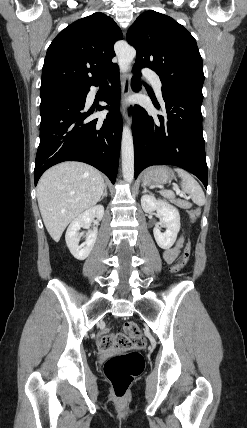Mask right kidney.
Wrapping results in <instances>:
<instances>
[{
	"label": "right kidney",
	"instance_id": "ca27d5eb",
	"mask_svg": "<svg viewBox=\"0 0 247 428\" xmlns=\"http://www.w3.org/2000/svg\"><path fill=\"white\" fill-rule=\"evenodd\" d=\"M104 215V207L102 205L94 206L84 213L79 215L69 225L65 240L71 254L78 260L86 259L92 251L95 241L97 239V229L89 230L86 233V241L79 245L78 231L81 227H85L91 223L94 218L101 220Z\"/></svg>",
	"mask_w": 247,
	"mask_h": 428
}]
</instances>
